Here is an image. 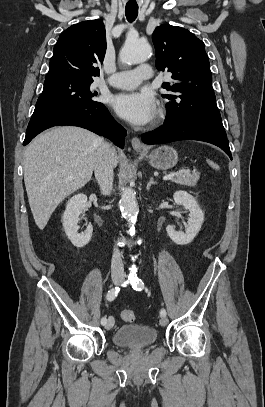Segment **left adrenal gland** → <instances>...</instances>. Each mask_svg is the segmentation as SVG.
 I'll return each instance as SVG.
<instances>
[{"label":"left adrenal gland","instance_id":"a2214340","mask_svg":"<svg viewBox=\"0 0 265 407\" xmlns=\"http://www.w3.org/2000/svg\"><path fill=\"white\" fill-rule=\"evenodd\" d=\"M155 184H157V182L154 181V178H153V177H151V178H150V181L147 183L146 189L149 190L150 187H151L152 185H155Z\"/></svg>","mask_w":265,"mask_h":407}]
</instances>
